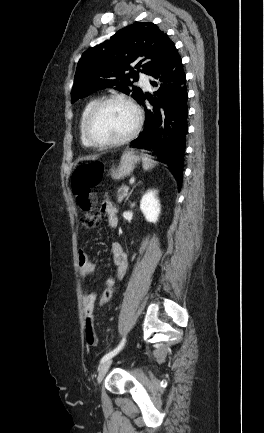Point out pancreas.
I'll use <instances>...</instances> for the list:
<instances>
[{"label":"pancreas","instance_id":"cf45deb5","mask_svg":"<svg viewBox=\"0 0 264 433\" xmlns=\"http://www.w3.org/2000/svg\"><path fill=\"white\" fill-rule=\"evenodd\" d=\"M126 196L127 193L124 191V187L119 188L117 191L118 202H121Z\"/></svg>","mask_w":264,"mask_h":433}]
</instances>
